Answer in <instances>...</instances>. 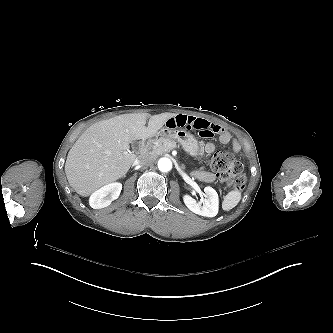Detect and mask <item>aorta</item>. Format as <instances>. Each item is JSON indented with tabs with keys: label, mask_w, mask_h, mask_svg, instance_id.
Returning <instances> with one entry per match:
<instances>
[{
	"label": "aorta",
	"mask_w": 333,
	"mask_h": 333,
	"mask_svg": "<svg viewBox=\"0 0 333 333\" xmlns=\"http://www.w3.org/2000/svg\"><path fill=\"white\" fill-rule=\"evenodd\" d=\"M158 169L161 172H168L172 169V162L169 158H161L158 161Z\"/></svg>",
	"instance_id": "762f6f07"
}]
</instances>
